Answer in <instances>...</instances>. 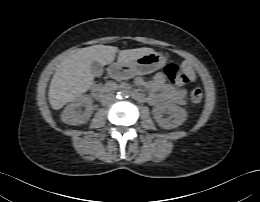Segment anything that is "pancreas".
Instances as JSON below:
<instances>
[{
  "instance_id": "cf45deb5",
  "label": "pancreas",
  "mask_w": 260,
  "mask_h": 202,
  "mask_svg": "<svg viewBox=\"0 0 260 202\" xmlns=\"http://www.w3.org/2000/svg\"><path fill=\"white\" fill-rule=\"evenodd\" d=\"M105 89L108 90V85H105Z\"/></svg>"
}]
</instances>
